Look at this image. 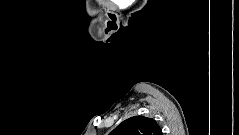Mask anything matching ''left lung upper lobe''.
Wrapping results in <instances>:
<instances>
[{
	"instance_id": "obj_1",
	"label": "left lung upper lobe",
	"mask_w": 239,
	"mask_h": 135,
	"mask_svg": "<svg viewBox=\"0 0 239 135\" xmlns=\"http://www.w3.org/2000/svg\"><path fill=\"white\" fill-rule=\"evenodd\" d=\"M109 135H162V131L152 118L134 116L120 123Z\"/></svg>"
}]
</instances>
